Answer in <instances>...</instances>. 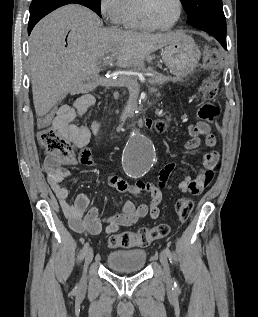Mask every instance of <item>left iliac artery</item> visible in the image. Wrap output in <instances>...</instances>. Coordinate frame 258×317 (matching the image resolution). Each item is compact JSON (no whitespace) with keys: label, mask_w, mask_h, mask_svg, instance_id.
<instances>
[{"label":"left iliac artery","mask_w":258,"mask_h":317,"mask_svg":"<svg viewBox=\"0 0 258 317\" xmlns=\"http://www.w3.org/2000/svg\"><path fill=\"white\" fill-rule=\"evenodd\" d=\"M164 251H165V254L167 255V257L169 258L170 262H172V255H171L170 249L168 247H165ZM172 290L174 293H177V294H179L181 292L180 286H179L176 279H174Z\"/></svg>","instance_id":"obj_1"}]
</instances>
